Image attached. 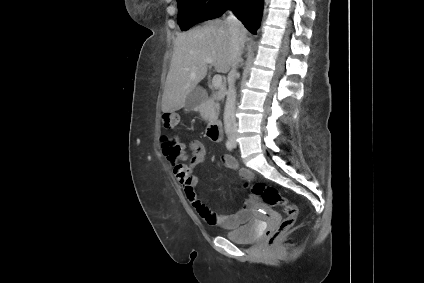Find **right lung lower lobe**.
Masks as SVG:
<instances>
[{
  "instance_id": "1",
  "label": "right lung lower lobe",
  "mask_w": 424,
  "mask_h": 283,
  "mask_svg": "<svg viewBox=\"0 0 424 283\" xmlns=\"http://www.w3.org/2000/svg\"><path fill=\"white\" fill-rule=\"evenodd\" d=\"M230 8L244 26L252 34H256L261 21L263 0H234Z\"/></svg>"
}]
</instances>
